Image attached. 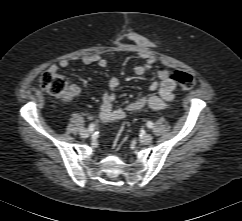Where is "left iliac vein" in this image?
Wrapping results in <instances>:
<instances>
[{"instance_id":"1","label":"left iliac vein","mask_w":242,"mask_h":221,"mask_svg":"<svg viewBox=\"0 0 242 221\" xmlns=\"http://www.w3.org/2000/svg\"><path fill=\"white\" fill-rule=\"evenodd\" d=\"M139 141L142 144H150L153 141V136L150 134H144L140 137Z\"/></svg>"}]
</instances>
